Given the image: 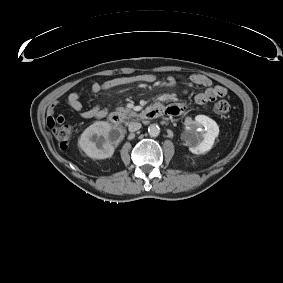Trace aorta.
I'll return each instance as SVG.
<instances>
[{
    "label": "aorta",
    "instance_id": "762f6f07",
    "mask_svg": "<svg viewBox=\"0 0 283 283\" xmlns=\"http://www.w3.org/2000/svg\"><path fill=\"white\" fill-rule=\"evenodd\" d=\"M148 133L151 137H157L160 134V127L157 124H151L148 127Z\"/></svg>",
    "mask_w": 283,
    "mask_h": 283
}]
</instances>
